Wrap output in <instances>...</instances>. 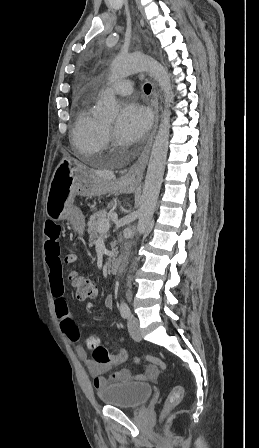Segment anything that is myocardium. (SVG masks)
I'll use <instances>...</instances> for the list:
<instances>
[{
    "label": "myocardium",
    "instance_id": "f54148a6",
    "mask_svg": "<svg viewBox=\"0 0 259 448\" xmlns=\"http://www.w3.org/2000/svg\"><path fill=\"white\" fill-rule=\"evenodd\" d=\"M106 129L112 131V129L108 126L106 127ZM79 156H80V154H79Z\"/></svg>",
    "mask_w": 259,
    "mask_h": 448
}]
</instances>
